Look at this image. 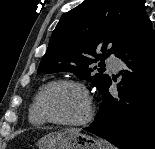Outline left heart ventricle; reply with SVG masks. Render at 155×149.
<instances>
[{"label": "left heart ventricle", "mask_w": 155, "mask_h": 149, "mask_svg": "<svg viewBox=\"0 0 155 149\" xmlns=\"http://www.w3.org/2000/svg\"><path fill=\"white\" fill-rule=\"evenodd\" d=\"M44 106L52 117L66 121L79 120L86 112L83 94L71 85L51 87L45 94Z\"/></svg>", "instance_id": "left-heart-ventricle-1"}]
</instances>
